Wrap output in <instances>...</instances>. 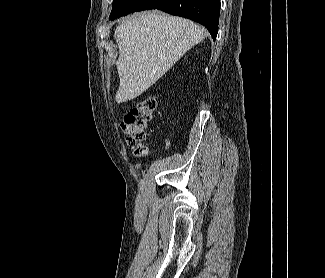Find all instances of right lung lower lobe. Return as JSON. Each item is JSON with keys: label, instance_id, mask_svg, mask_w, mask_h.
I'll list each match as a JSON object with an SVG mask.
<instances>
[{"label": "right lung lower lobe", "instance_id": "obj_1", "mask_svg": "<svg viewBox=\"0 0 325 278\" xmlns=\"http://www.w3.org/2000/svg\"><path fill=\"white\" fill-rule=\"evenodd\" d=\"M159 9L172 15L194 20L204 25L213 40L218 32L219 0H135L131 12Z\"/></svg>", "mask_w": 325, "mask_h": 278}]
</instances>
